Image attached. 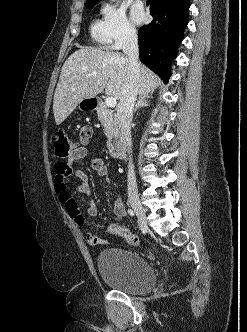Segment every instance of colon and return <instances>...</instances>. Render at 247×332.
I'll use <instances>...</instances> for the list:
<instances>
[{"mask_svg": "<svg viewBox=\"0 0 247 332\" xmlns=\"http://www.w3.org/2000/svg\"><path fill=\"white\" fill-rule=\"evenodd\" d=\"M55 154L59 158L71 157L76 149V142L70 138L64 132H57L54 140ZM108 231L124 238L128 243L132 245H140V240L137 236L132 234L127 228L119 226L117 224H110Z\"/></svg>", "mask_w": 247, "mask_h": 332, "instance_id": "obj_1", "label": "colon"}]
</instances>
